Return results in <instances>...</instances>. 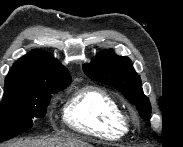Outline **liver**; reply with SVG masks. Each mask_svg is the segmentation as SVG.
<instances>
[{
  "mask_svg": "<svg viewBox=\"0 0 183 147\" xmlns=\"http://www.w3.org/2000/svg\"><path fill=\"white\" fill-rule=\"evenodd\" d=\"M5 147H92L90 144L75 137H54L41 139L17 140L5 145Z\"/></svg>",
  "mask_w": 183,
  "mask_h": 147,
  "instance_id": "6515ba94",
  "label": "liver"
}]
</instances>
